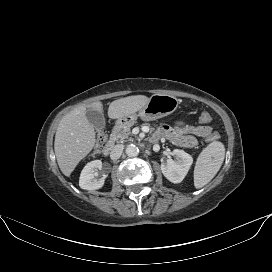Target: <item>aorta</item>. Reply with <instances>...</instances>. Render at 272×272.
<instances>
[{"instance_id":"aorta-1","label":"aorta","mask_w":272,"mask_h":272,"mask_svg":"<svg viewBox=\"0 0 272 272\" xmlns=\"http://www.w3.org/2000/svg\"><path fill=\"white\" fill-rule=\"evenodd\" d=\"M126 154L130 157H135L139 154V149L136 145L134 144H129L126 147Z\"/></svg>"}]
</instances>
